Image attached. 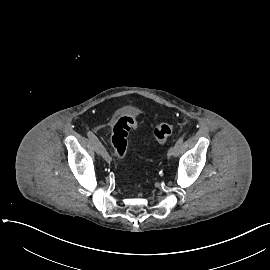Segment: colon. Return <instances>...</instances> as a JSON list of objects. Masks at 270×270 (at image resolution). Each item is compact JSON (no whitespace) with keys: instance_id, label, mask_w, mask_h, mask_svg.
Listing matches in <instances>:
<instances>
[{"instance_id":"5ec220e1","label":"colon","mask_w":270,"mask_h":270,"mask_svg":"<svg viewBox=\"0 0 270 270\" xmlns=\"http://www.w3.org/2000/svg\"><path fill=\"white\" fill-rule=\"evenodd\" d=\"M137 127L136 118L130 115H121L117 117L111 124V142L115 155L118 160L122 161L126 158L128 150V134ZM174 131L172 123L169 121H161L156 124L153 130L154 139L157 143H164Z\"/></svg>"}]
</instances>
